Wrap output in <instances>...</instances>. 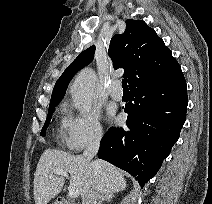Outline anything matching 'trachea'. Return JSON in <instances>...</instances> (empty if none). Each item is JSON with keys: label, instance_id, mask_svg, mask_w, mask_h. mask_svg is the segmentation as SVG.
Instances as JSON below:
<instances>
[{"label": "trachea", "instance_id": "3493384b", "mask_svg": "<svg viewBox=\"0 0 212 204\" xmlns=\"http://www.w3.org/2000/svg\"><path fill=\"white\" fill-rule=\"evenodd\" d=\"M122 87H123V90H128L127 79L122 80Z\"/></svg>", "mask_w": 212, "mask_h": 204}]
</instances>
